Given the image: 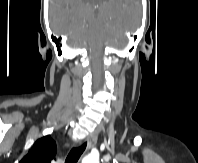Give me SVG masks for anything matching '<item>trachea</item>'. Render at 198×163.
Returning <instances> with one entry per match:
<instances>
[{"mask_svg": "<svg viewBox=\"0 0 198 163\" xmlns=\"http://www.w3.org/2000/svg\"><path fill=\"white\" fill-rule=\"evenodd\" d=\"M86 145L87 143L85 142L81 146L73 148L68 154L65 163H76L84 152Z\"/></svg>", "mask_w": 198, "mask_h": 163, "instance_id": "3493384b", "label": "trachea"}]
</instances>
